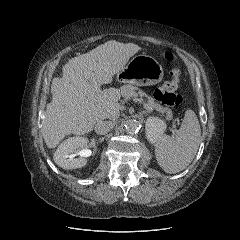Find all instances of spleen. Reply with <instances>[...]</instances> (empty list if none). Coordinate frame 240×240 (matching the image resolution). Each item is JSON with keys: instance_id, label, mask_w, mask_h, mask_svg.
Masks as SVG:
<instances>
[{"instance_id": "3e777b00", "label": "spleen", "mask_w": 240, "mask_h": 240, "mask_svg": "<svg viewBox=\"0 0 240 240\" xmlns=\"http://www.w3.org/2000/svg\"><path fill=\"white\" fill-rule=\"evenodd\" d=\"M201 129L194 111L187 110L175 136L163 135L155 144V155L167 173L184 170L194 159L200 144Z\"/></svg>"}]
</instances>
